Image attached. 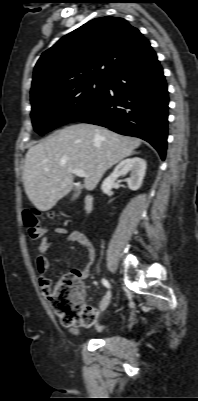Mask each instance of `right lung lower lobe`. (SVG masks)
<instances>
[{
	"mask_svg": "<svg viewBox=\"0 0 198 401\" xmlns=\"http://www.w3.org/2000/svg\"><path fill=\"white\" fill-rule=\"evenodd\" d=\"M168 91L162 67L151 46L107 80L97 104L76 121L142 138L165 158Z\"/></svg>",
	"mask_w": 198,
	"mask_h": 401,
	"instance_id": "right-lung-lower-lobe-1",
	"label": "right lung lower lobe"
}]
</instances>
